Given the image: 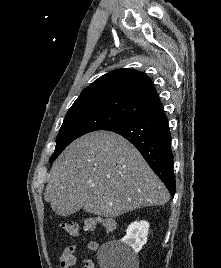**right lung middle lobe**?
Instances as JSON below:
<instances>
[{
  "mask_svg": "<svg viewBox=\"0 0 221 268\" xmlns=\"http://www.w3.org/2000/svg\"><path fill=\"white\" fill-rule=\"evenodd\" d=\"M126 119L107 110H83L68 112L57 136L56 147L49 162L54 161L60 153L75 139L96 130H107Z\"/></svg>",
  "mask_w": 221,
  "mask_h": 268,
  "instance_id": "1",
  "label": "right lung middle lobe"
}]
</instances>
